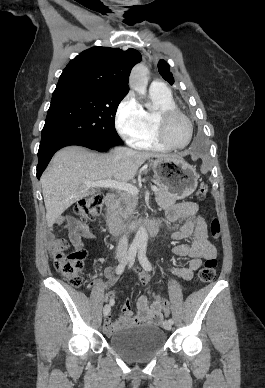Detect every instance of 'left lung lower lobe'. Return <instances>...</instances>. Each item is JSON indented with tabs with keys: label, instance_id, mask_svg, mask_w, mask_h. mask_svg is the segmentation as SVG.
<instances>
[{
	"label": "left lung lower lobe",
	"instance_id": "left-lung-lower-lobe-1",
	"mask_svg": "<svg viewBox=\"0 0 265 388\" xmlns=\"http://www.w3.org/2000/svg\"><path fill=\"white\" fill-rule=\"evenodd\" d=\"M203 142L202 140L200 139V137H198L195 141V144H194V147L197 149V150H201L203 148Z\"/></svg>",
	"mask_w": 265,
	"mask_h": 388
}]
</instances>
